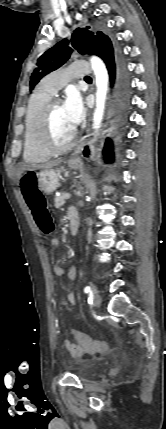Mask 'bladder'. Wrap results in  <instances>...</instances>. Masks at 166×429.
Here are the masks:
<instances>
[{
  "label": "bladder",
  "mask_w": 166,
  "mask_h": 429,
  "mask_svg": "<svg viewBox=\"0 0 166 429\" xmlns=\"http://www.w3.org/2000/svg\"><path fill=\"white\" fill-rule=\"evenodd\" d=\"M96 367L92 364H86L84 369L82 370L81 374L82 375H88L91 374L95 371Z\"/></svg>",
  "instance_id": "1"
}]
</instances>
